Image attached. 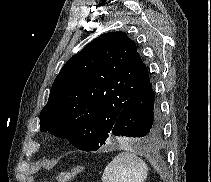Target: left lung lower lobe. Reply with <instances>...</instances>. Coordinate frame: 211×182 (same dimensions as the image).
<instances>
[{"mask_svg": "<svg viewBox=\"0 0 211 182\" xmlns=\"http://www.w3.org/2000/svg\"><path fill=\"white\" fill-rule=\"evenodd\" d=\"M162 116L155 101L151 79L148 78L138 93L124 106L111 134L139 141H151L161 132Z\"/></svg>", "mask_w": 211, "mask_h": 182, "instance_id": "left-lung-lower-lobe-1", "label": "left lung lower lobe"}]
</instances>
